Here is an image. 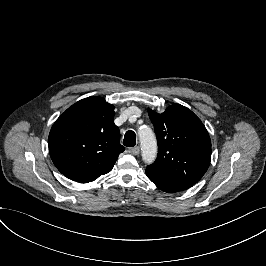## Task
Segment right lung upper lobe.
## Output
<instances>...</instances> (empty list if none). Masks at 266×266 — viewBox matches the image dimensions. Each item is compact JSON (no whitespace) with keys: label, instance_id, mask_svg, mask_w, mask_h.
<instances>
[{"label":"right lung upper lobe","instance_id":"right-lung-upper-lobe-1","mask_svg":"<svg viewBox=\"0 0 266 266\" xmlns=\"http://www.w3.org/2000/svg\"><path fill=\"white\" fill-rule=\"evenodd\" d=\"M114 106L97 96L82 99L53 124L49 153L67 178L88 183L110 172L125 150L114 124Z\"/></svg>","mask_w":266,"mask_h":266}]
</instances>
